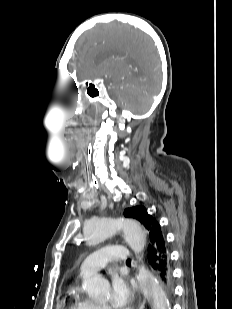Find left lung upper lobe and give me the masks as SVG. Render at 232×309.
Masks as SVG:
<instances>
[{
  "mask_svg": "<svg viewBox=\"0 0 232 309\" xmlns=\"http://www.w3.org/2000/svg\"><path fill=\"white\" fill-rule=\"evenodd\" d=\"M124 216L138 220L148 233V237L152 233L154 226L158 223L152 215L148 214L144 206H136L128 208L124 212Z\"/></svg>",
  "mask_w": 232,
  "mask_h": 309,
  "instance_id": "left-lung-upper-lobe-1",
  "label": "left lung upper lobe"
}]
</instances>
